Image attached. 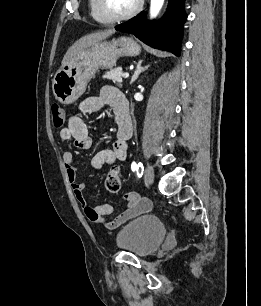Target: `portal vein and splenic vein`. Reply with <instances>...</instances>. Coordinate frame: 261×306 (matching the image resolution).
Segmentation results:
<instances>
[{
    "instance_id": "1",
    "label": "portal vein and splenic vein",
    "mask_w": 261,
    "mask_h": 306,
    "mask_svg": "<svg viewBox=\"0 0 261 306\" xmlns=\"http://www.w3.org/2000/svg\"><path fill=\"white\" fill-rule=\"evenodd\" d=\"M123 77H124V78H127V77H129V74H128V73H124V74H123Z\"/></svg>"
}]
</instances>
